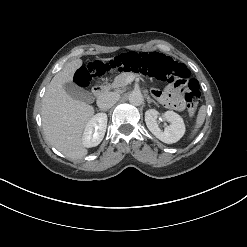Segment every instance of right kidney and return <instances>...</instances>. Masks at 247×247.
Here are the masks:
<instances>
[{
    "mask_svg": "<svg viewBox=\"0 0 247 247\" xmlns=\"http://www.w3.org/2000/svg\"><path fill=\"white\" fill-rule=\"evenodd\" d=\"M107 128V115L98 113L87 123L82 136L84 147L90 148L100 144Z\"/></svg>",
    "mask_w": 247,
    "mask_h": 247,
    "instance_id": "ca27d5eb",
    "label": "right kidney"
}]
</instances>
